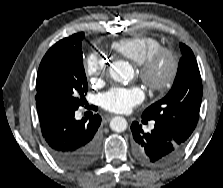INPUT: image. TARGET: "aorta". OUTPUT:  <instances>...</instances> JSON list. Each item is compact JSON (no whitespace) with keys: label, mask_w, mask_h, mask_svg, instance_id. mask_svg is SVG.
Listing matches in <instances>:
<instances>
[{"label":"aorta","mask_w":223,"mask_h":188,"mask_svg":"<svg viewBox=\"0 0 223 188\" xmlns=\"http://www.w3.org/2000/svg\"><path fill=\"white\" fill-rule=\"evenodd\" d=\"M110 75L117 82H127L133 77V68L126 61H115L110 67ZM128 123L125 118L116 116L110 121V128L115 132H124Z\"/></svg>","instance_id":"aorta-1"}]
</instances>
